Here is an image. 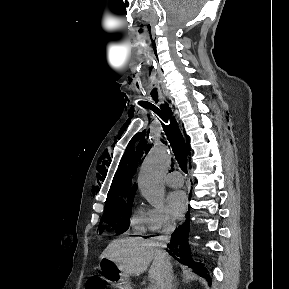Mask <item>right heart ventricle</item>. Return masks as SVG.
Returning a JSON list of instances; mask_svg holds the SVG:
<instances>
[{
  "instance_id": "right-heart-ventricle-1",
  "label": "right heart ventricle",
  "mask_w": 289,
  "mask_h": 289,
  "mask_svg": "<svg viewBox=\"0 0 289 289\" xmlns=\"http://www.w3.org/2000/svg\"><path fill=\"white\" fill-rule=\"evenodd\" d=\"M150 209L143 206H136L131 215V226L138 235L146 234L149 229Z\"/></svg>"
}]
</instances>
